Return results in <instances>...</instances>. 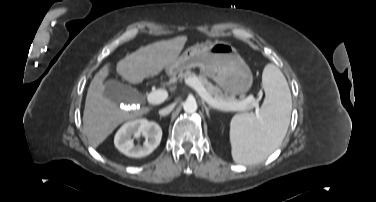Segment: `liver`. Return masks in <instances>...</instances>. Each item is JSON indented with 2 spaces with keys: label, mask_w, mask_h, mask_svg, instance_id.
<instances>
[{
  "label": "liver",
  "mask_w": 376,
  "mask_h": 202,
  "mask_svg": "<svg viewBox=\"0 0 376 202\" xmlns=\"http://www.w3.org/2000/svg\"><path fill=\"white\" fill-rule=\"evenodd\" d=\"M187 39V36H177L141 47L117 63V72L129 83H141L145 78L159 74L175 62ZM109 73L108 63L94 76L86 96L83 126L94 148L98 147L120 123L135 119L149 111L145 107L140 110H122L105 98L103 81Z\"/></svg>",
  "instance_id": "liver-1"
}]
</instances>
